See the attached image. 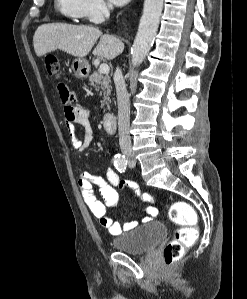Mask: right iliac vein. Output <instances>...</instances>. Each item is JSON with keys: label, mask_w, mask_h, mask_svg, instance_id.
<instances>
[{"label": "right iliac vein", "mask_w": 247, "mask_h": 299, "mask_svg": "<svg viewBox=\"0 0 247 299\" xmlns=\"http://www.w3.org/2000/svg\"><path fill=\"white\" fill-rule=\"evenodd\" d=\"M129 163H135V160L131 156H127Z\"/></svg>", "instance_id": "obj_1"}]
</instances>
